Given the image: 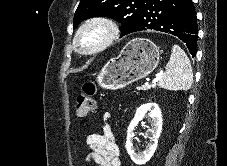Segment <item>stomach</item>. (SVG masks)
I'll return each mask as SVG.
<instances>
[{
	"mask_svg": "<svg viewBox=\"0 0 227 166\" xmlns=\"http://www.w3.org/2000/svg\"><path fill=\"white\" fill-rule=\"evenodd\" d=\"M159 57V47L152 41L145 38L132 39L117 57L104 65L97 81L104 89H122L152 73L158 65Z\"/></svg>",
	"mask_w": 227,
	"mask_h": 166,
	"instance_id": "stomach-1",
	"label": "stomach"
}]
</instances>
